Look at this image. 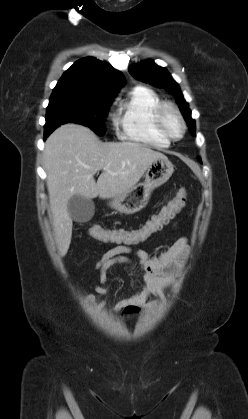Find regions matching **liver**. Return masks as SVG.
<instances>
[{
	"mask_svg": "<svg viewBox=\"0 0 248 419\" xmlns=\"http://www.w3.org/2000/svg\"><path fill=\"white\" fill-rule=\"evenodd\" d=\"M157 158L167 157L140 143H103L89 128L74 123L60 126L48 137L43 165L60 256L67 254L71 243L70 198L80 195L105 199L124 193L139 182ZM99 170L103 172L96 182L94 175Z\"/></svg>",
	"mask_w": 248,
	"mask_h": 419,
	"instance_id": "obj_1",
	"label": "liver"
}]
</instances>
